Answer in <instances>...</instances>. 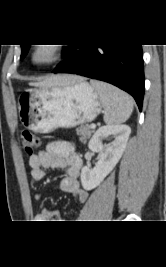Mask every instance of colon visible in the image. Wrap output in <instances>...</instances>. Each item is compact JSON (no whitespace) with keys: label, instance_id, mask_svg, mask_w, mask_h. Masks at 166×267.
Wrapping results in <instances>:
<instances>
[{"label":"colon","instance_id":"1","mask_svg":"<svg viewBox=\"0 0 166 267\" xmlns=\"http://www.w3.org/2000/svg\"><path fill=\"white\" fill-rule=\"evenodd\" d=\"M21 144L28 154H32L39 147L40 139L31 131H23L21 134Z\"/></svg>","mask_w":166,"mask_h":267}]
</instances>
